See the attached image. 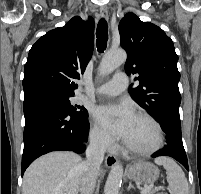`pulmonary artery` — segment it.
Here are the masks:
<instances>
[{"label": "pulmonary artery", "mask_w": 201, "mask_h": 194, "mask_svg": "<svg viewBox=\"0 0 201 194\" xmlns=\"http://www.w3.org/2000/svg\"><path fill=\"white\" fill-rule=\"evenodd\" d=\"M128 85V78L125 73H117L111 81L96 88V94L104 96H116L122 93Z\"/></svg>", "instance_id": "1"}]
</instances>
